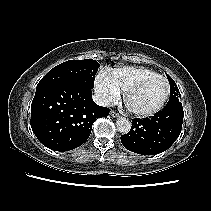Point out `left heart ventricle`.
Here are the masks:
<instances>
[{"instance_id": "1", "label": "left heart ventricle", "mask_w": 211, "mask_h": 211, "mask_svg": "<svg viewBox=\"0 0 211 211\" xmlns=\"http://www.w3.org/2000/svg\"><path fill=\"white\" fill-rule=\"evenodd\" d=\"M166 83L162 79H154L134 93L130 105L137 110H149L158 105L166 93Z\"/></svg>"}]
</instances>
